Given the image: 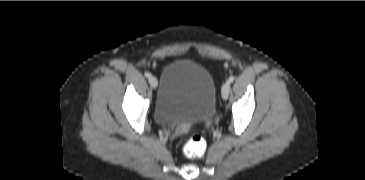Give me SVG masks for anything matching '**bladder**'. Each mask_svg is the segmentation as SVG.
Listing matches in <instances>:
<instances>
[{
    "label": "bladder",
    "mask_w": 365,
    "mask_h": 180,
    "mask_svg": "<svg viewBox=\"0 0 365 180\" xmlns=\"http://www.w3.org/2000/svg\"><path fill=\"white\" fill-rule=\"evenodd\" d=\"M216 95V83L206 67L188 59L175 60L162 73L154 118L167 127L208 120L216 109Z\"/></svg>",
    "instance_id": "31cf9c89"
}]
</instances>
